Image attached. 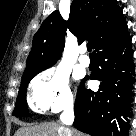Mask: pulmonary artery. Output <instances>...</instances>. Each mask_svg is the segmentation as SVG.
I'll return each mask as SVG.
<instances>
[{
	"label": "pulmonary artery",
	"mask_w": 136,
	"mask_h": 136,
	"mask_svg": "<svg viewBox=\"0 0 136 136\" xmlns=\"http://www.w3.org/2000/svg\"><path fill=\"white\" fill-rule=\"evenodd\" d=\"M80 57H79V62L82 66L84 67H88L90 65V59L89 57L85 54L86 53V48L85 47H81L80 48Z\"/></svg>",
	"instance_id": "obj_1"
}]
</instances>
